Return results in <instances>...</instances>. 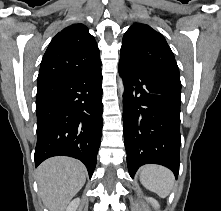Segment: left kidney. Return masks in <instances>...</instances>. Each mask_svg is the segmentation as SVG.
<instances>
[{
	"instance_id": "5707ae66",
	"label": "left kidney",
	"mask_w": 221,
	"mask_h": 211,
	"mask_svg": "<svg viewBox=\"0 0 221 211\" xmlns=\"http://www.w3.org/2000/svg\"><path fill=\"white\" fill-rule=\"evenodd\" d=\"M147 200H148L150 203H152L154 206H156L157 208H159V204H158V202H157L155 199H153V198H147Z\"/></svg>"
}]
</instances>
